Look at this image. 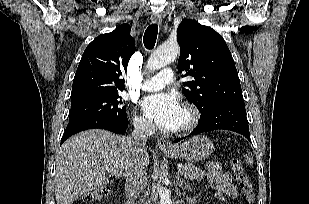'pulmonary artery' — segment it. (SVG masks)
<instances>
[{"instance_id":"1","label":"pulmonary artery","mask_w":309,"mask_h":204,"mask_svg":"<svg viewBox=\"0 0 309 204\" xmlns=\"http://www.w3.org/2000/svg\"><path fill=\"white\" fill-rule=\"evenodd\" d=\"M173 71L163 70L159 75L146 79L142 83V89L145 91L159 90L173 81Z\"/></svg>"}]
</instances>
